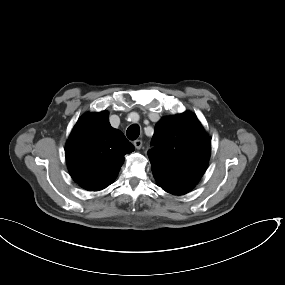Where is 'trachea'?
Segmentation results:
<instances>
[{"mask_svg": "<svg viewBox=\"0 0 285 285\" xmlns=\"http://www.w3.org/2000/svg\"><path fill=\"white\" fill-rule=\"evenodd\" d=\"M140 134V128L137 124H133L127 129V137L130 140H136Z\"/></svg>", "mask_w": 285, "mask_h": 285, "instance_id": "obj_1", "label": "trachea"}]
</instances>
